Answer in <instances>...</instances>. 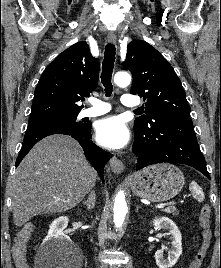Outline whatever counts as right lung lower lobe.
<instances>
[{
  "label": "right lung lower lobe",
  "instance_id": "1",
  "mask_svg": "<svg viewBox=\"0 0 221 268\" xmlns=\"http://www.w3.org/2000/svg\"><path fill=\"white\" fill-rule=\"evenodd\" d=\"M52 134H65L76 139L82 146L89 162L103 179L104 166L111 154L102 150L91 140V125H70L57 122L43 121L31 123L25 133L22 148L16 160V166L22 161L30 149L41 139Z\"/></svg>",
  "mask_w": 221,
  "mask_h": 268
}]
</instances>
